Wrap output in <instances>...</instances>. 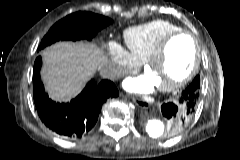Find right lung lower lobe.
I'll list each match as a JSON object with an SVG mask.
<instances>
[{"label":"right lung lower lobe","instance_id":"right-lung-lower-lobe-1","mask_svg":"<svg viewBox=\"0 0 240 160\" xmlns=\"http://www.w3.org/2000/svg\"><path fill=\"white\" fill-rule=\"evenodd\" d=\"M42 59L38 56L33 68L34 104L41 121L52 132L67 138H80L96 124L102 104L119 95L113 82L89 81L83 91L71 103H56L44 91L40 69Z\"/></svg>","mask_w":240,"mask_h":160}]
</instances>
